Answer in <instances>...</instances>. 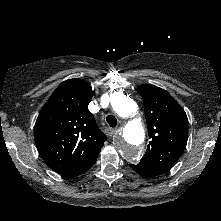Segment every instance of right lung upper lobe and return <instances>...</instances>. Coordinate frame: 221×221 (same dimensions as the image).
<instances>
[{
	"label": "right lung upper lobe",
	"mask_w": 221,
	"mask_h": 221,
	"mask_svg": "<svg viewBox=\"0 0 221 221\" xmlns=\"http://www.w3.org/2000/svg\"><path fill=\"white\" fill-rule=\"evenodd\" d=\"M93 94L82 79L62 82L42 108L35 124V142L45 163L63 174L98 156L106 141L88 104Z\"/></svg>",
	"instance_id": "obj_1"
}]
</instances>
